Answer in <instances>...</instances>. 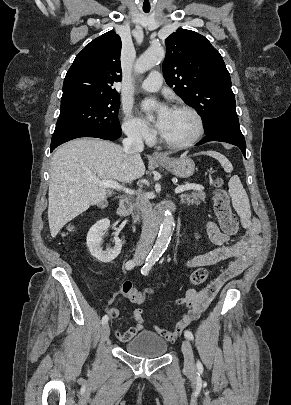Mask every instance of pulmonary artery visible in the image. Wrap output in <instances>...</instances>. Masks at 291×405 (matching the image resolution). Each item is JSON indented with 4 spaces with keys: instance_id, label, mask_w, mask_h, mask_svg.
<instances>
[{
    "instance_id": "pulmonary-artery-1",
    "label": "pulmonary artery",
    "mask_w": 291,
    "mask_h": 405,
    "mask_svg": "<svg viewBox=\"0 0 291 405\" xmlns=\"http://www.w3.org/2000/svg\"><path fill=\"white\" fill-rule=\"evenodd\" d=\"M162 83L163 78L161 73L158 71H152L142 82L141 88L145 91L154 92L160 89Z\"/></svg>"
}]
</instances>
